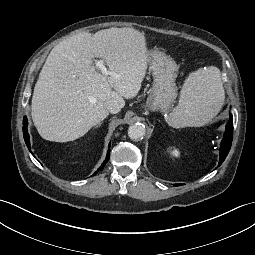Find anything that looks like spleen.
Listing matches in <instances>:
<instances>
[{"mask_svg": "<svg viewBox=\"0 0 255 255\" xmlns=\"http://www.w3.org/2000/svg\"><path fill=\"white\" fill-rule=\"evenodd\" d=\"M217 67L199 69L189 74L180 93L179 103L166 117L173 128L200 127L207 124L221 108L225 94Z\"/></svg>", "mask_w": 255, "mask_h": 255, "instance_id": "obj_1", "label": "spleen"}]
</instances>
